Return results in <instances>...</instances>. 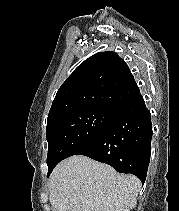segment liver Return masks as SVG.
Listing matches in <instances>:
<instances>
[{
    "instance_id": "6515ba94",
    "label": "liver",
    "mask_w": 179,
    "mask_h": 211,
    "mask_svg": "<svg viewBox=\"0 0 179 211\" xmlns=\"http://www.w3.org/2000/svg\"><path fill=\"white\" fill-rule=\"evenodd\" d=\"M49 201L56 211H119L133 209L141 189L134 175L86 156H71L52 171Z\"/></svg>"
}]
</instances>
